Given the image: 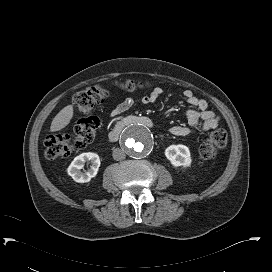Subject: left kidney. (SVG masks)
I'll return each mask as SVG.
<instances>
[{"instance_id":"left-kidney-1","label":"left kidney","mask_w":272,"mask_h":272,"mask_svg":"<svg viewBox=\"0 0 272 272\" xmlns=\"http://www.w3.org/2000/svg\"><path fill=\"white\" fill-rule=\"evenodd\" d=\"M165 156L174 167H189L192 162L189 148L182 144L167 147Z\"/></svg>"}]
</instances>
